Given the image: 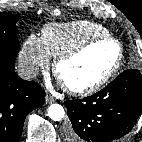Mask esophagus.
<instances>
[{
    "label": "esophagus",
    "mask_w": 142,
    "mask_h": 142,
    "mask_svg": "<svg viewBox=\"0 0 142 142\" xmlns=\"http://www.w3.org/2000/svg\"><path fill=\"white\" fill-rule=\"evenodd\" d=\"M45 101L47 104H51L52 102H54V98L51 95H46Z\"/></svg>",
    "instance_id": "34e87169"
}]
</instances>
